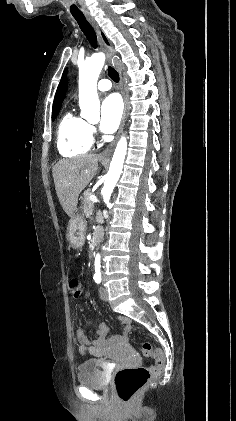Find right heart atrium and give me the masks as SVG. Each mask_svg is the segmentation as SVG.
Instances as JSON below:
<instances>
[{
	"label": "right heart atrium",
	"instance_id": "obj_1",
	"mask_svg": "<svg viewBox=\"0 0 236 421\" xmlns=\"http://www.w3.org/2000/svg\"><path fill=\"white\" fill-rule=\"evenodd\" d=\"M91 130H92L93 133H95V128L94 127H91Z\"/></svg>",
	"mask_w": 236,
	"mask_h": 421
}]
</instances>
